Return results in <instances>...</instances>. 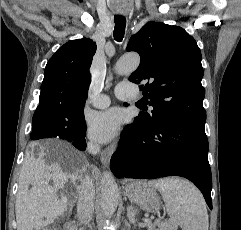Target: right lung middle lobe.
I'll return each mask as SVG.
<instances>
[{
  "label": "right lung middle lobe",
  "mask_w": 241,
  "mask_h": 230,
  "mask_svg": "<svg viewBox=\"0 0 241 230\" xmlns=\"http://www.w3.org/2000/svg\"><path fill=\"white\" fill-rule=\"evenodd\" d=\"M84 106L77 108H59L40 115L33 116V127L30 138L38 140L42 138L56 137L53 133L59 134L58 138L64 136L84 137L86 133V122L83 112Z\"/></svg>",
  "instance_id": "obj_1"
}]
</instances>
